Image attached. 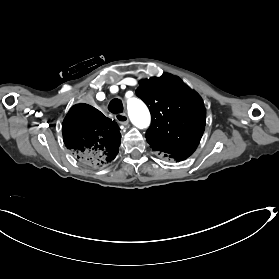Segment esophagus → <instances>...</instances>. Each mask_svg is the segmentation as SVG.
I'll return each mask as SVG.
<instances>
[{
  "label": "esophagus",
  "mask_w": 279,
  "mask_h": 279,
  "mask_svg": "<svg viewBox=\"0 0 279 279\" xmlns=\"http://www.w3.org/2000/svg\"><path fill=\"white\" fill-rule=\"evenodd\" d=\"M115 119L117 120L118 123H120L122 125H128V123H129V118L125 113L116 114Z\"/></svg>",
  "instance_id": "esophagus-1"
}]
</instances>
